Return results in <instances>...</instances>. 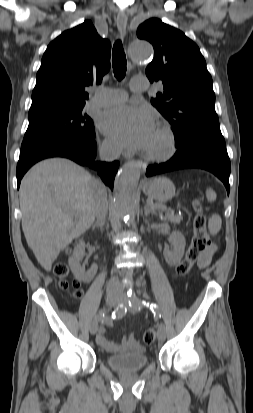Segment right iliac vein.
I'll return each instance as SVG.
<instances>
[{"label": "right iliac vein", "instance_id": "63e3f726", "mask_svg": "<svg viewBox=\"0 0 253 413\" xmlns=\"http://www.w3.org/2000/svg\"><path fill=\"white\" fill-rule=\"evenodd\" d=\"M106 302L110 307H113L119 303V298L114 293H108L106 296ZM97 331H98V321L95 320L92 322L90 326V333L94 335L97 333Z\"/></svg>", "mask_w": 253, "mask_h": 413}]
</instances>
